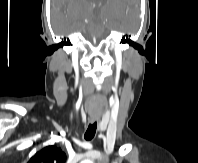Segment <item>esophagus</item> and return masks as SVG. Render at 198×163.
Listing matches in <instances>:
<instances>
[{
	"mask_svg": "<svg viewBox=\"0 0 198 163\" xmlns=\"http://www.w3.org/2000/svg\"><path fill=\"white\" fill-rule=\"evenodd\" d=\"M91 121H92V122H95V121H96V118H91Z\"/></svg>",
	"mask_w": 198,
	"mask_h": 163,
	"instance_id": "34e87169",
	"label": "esophagus"
}]
</instances>
